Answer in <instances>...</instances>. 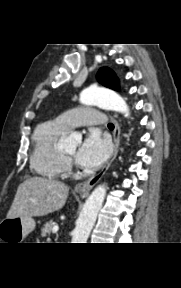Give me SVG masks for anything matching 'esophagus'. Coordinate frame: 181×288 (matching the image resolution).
Masks as SVG:
<instances>
[{"instance_id":"34e87169","label":"esophagus","mask_w":181,"mask_h":288,"mask_svg":"<svg viewBox=\"0 0 181 288\" xmlns=\"http://www.w3.org/2000/svg\"><path fill=\"white\" fill-rule=\"evenodd\" d=\"M112 122L114 124V131H113V142H114V148L111 156L109 157L106 164L103 166L101 171L94 175L93 177L89 178L85 182L78 183L75 186V191L78 192L81 196L85 197L89 194L90 190L99 182V180L103 177V175L106 173L108 168L110 167L113 160L116 158L119 150V144H120V126L119 123L115 118H111Z\"/></svg>"}]
</instances>
